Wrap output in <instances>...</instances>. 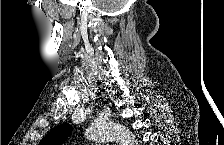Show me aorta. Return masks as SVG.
<instances>
[{"instance_id": "obj_1", "label": "aorta", "mask_w": 224, "mask_h": 145, "mask_svg": "<svg viewBox=\"0 0 224 145\" xmlns=\"http://www.w3.org/2000/svg\"><path fill=\"white\" fill-rule=\"evenodd\" d=\"M87 139L92 141H116L121 145H137V140L133 133L125 126L106 122L92 124L85 133Z\"/></svg>"}]
</instances>
